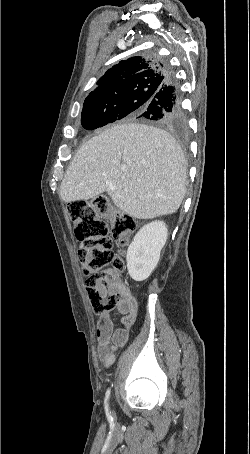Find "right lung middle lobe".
I'll return each instance as SVG.
<instances>
[{
  "mask_svg": "<svg viewBox=\"0 0 250 454\" xmlns=\"http://www.w3.org/2000/svg\"><path fill=\"white\" fill-rule=\"evenodd\" d=\"M159 89L155 84H145L119 98L84 104L81 124L87 130H94L127 116L138 117Z\"/></svg>",
  "mask_w": 250,
  "mask_h": 454,
  "instance_id": "right-lung-middle-lobe-1",
  "label": "right lung middle lobe"
}]
</instances>
